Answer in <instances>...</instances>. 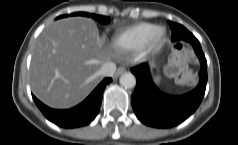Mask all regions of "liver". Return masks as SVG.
<instances>
[{
    "mask_svg": "<svg viewBox=\"0 0 238 145\" xmlns=\"http://www.w3.org/2000/svg\"><path fill=\"white\" fill-rule=\"evenodd\" d=\"M112 56L111 45L91 19L58 20L36 41L29 74L32 92L49 107H73L101 81L100 69Z\"/></svg>",
    "mask_w": 238,
    "mask_h": 145,
    "instance_id": "obj_1",
    "label": "liver"
}]
</instances>
